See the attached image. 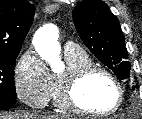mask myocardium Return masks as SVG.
<instances>
[{
    "instance_id": "obj_1",
    "label": "myocardium",
    "mask_w": 142,
    "mask_h": 119,
    "mask_svg": "<svg viewBox=\"0 0 142 119\" xmlns=\"http://www.w3.org/2000/svg\"><path fill=\"white\" fill-rule=\"evenodd\" d=\"M95 74L106 76L115 86L117 100L112 108L102 112H95L85 108L78 100V92L87 80ZM123 89L120 81L109 70L98 66L88 65L76 70L67 71L60 76L59 104L63 109L91 117H105L114 114L123 103Z\"/></svg>"
}]
</instances>
